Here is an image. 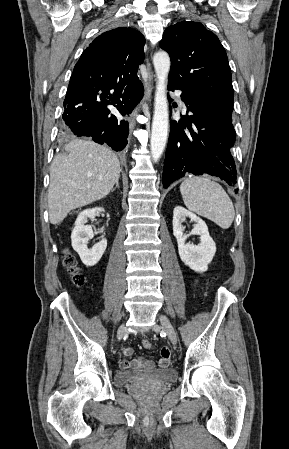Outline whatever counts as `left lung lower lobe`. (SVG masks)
<instances>
[{"label": "left lung lower lobe", "instance_id": "obj_1", "mask_svg": "<svg viewBox=\"0 0 289 449\" xmlns=\"http://www.w3.org/2000/svg\"><path fill=\"white\" fill-rule=\"evenodd\" d=\"M168 89L183 91L181 98L192 115L182 121H171L163 170L164 188L187 174L216 176L234 186L237 172L231 148L236 134L232 117L205 106L191 88L169 81ZM186 127L190 133L184 131Z\"/></svg>", "mask_w": 289, "mask_h": 449}]
</instances>
